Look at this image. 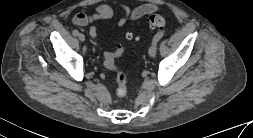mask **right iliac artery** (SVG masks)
I'll return each mask as SVG.
<instances>
[{
    "instance_id": "82829eb1",
    "label": "right iliac artery",
    "mask_w": 253,
    "mask_h": 138,
    "mask_svg": "<svg viewBox=\"0 0 253 138\" xmlns=\"http://www.w3.org/2000/svg\"><path fill=\"white\" fill-rule=\"evenodd\" d=\"M73 35H74V36H78V35H79L78 30H74V31H73Z\"/></svg>"
}]
</instances>
